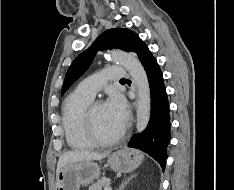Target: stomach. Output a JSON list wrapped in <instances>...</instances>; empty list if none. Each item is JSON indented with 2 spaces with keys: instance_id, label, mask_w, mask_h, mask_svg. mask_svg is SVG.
<instances>
[{
  "instance_id": "stomach-1",
  "label": "stomach",
  "mask_w": 234,
  "mask_h": 190,
  "mask_svg": "<svg viewBox=\"0 0 234 190\" xmlns=\"http://www.w3.org/2000/svg\"><path fill=\"white\" fill-rule=\"evenodd\" d=\"M143 161V155L127 148H122L109 155L108 165L120 173L134 171ZM100 176V168L92 161H78L64 165L56 175L55 190H79L81 185H88Z\"/></svg>"
}]
</instances>
